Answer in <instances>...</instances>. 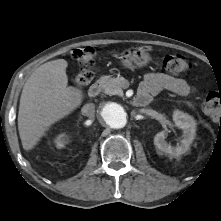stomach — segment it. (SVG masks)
<instances>
[{"label": "stomach", "mask_w": 221, "mask_h": 221, "mask_svg": "<svg viewBox=\"0 0 221 221\" xmlns=\"http://www.w3.org/2000/svg\"><path fill=\"white\" fill-rule=\"evenodd\" d=\"M150 61L148 50L144 48H129L121 55V62L125 68L136 69L146 66Z\"/></svg>", "instance_id": "obj_1"}]
</instances>
